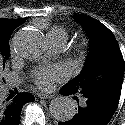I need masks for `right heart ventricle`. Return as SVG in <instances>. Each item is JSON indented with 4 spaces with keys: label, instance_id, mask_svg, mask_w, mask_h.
I'll return each mask as SVG.
<instances>
[{
    "label": "right heart ventricle",
    "instance_id": "e07e8e85",
    "mask_svg": "<svg viewBox=\"0 0 125 125\" xmlns=\"http://www.w3.org/2000/svg\"><path fill=\"white\" fill-rule=\"evenodd\" d=\"M47 36L61 37L66 40L67 30L62 26H53L48 31Z\"/></svg>",
    "mask_w": 125,
    "mask_h": 125
}]
</instances>
